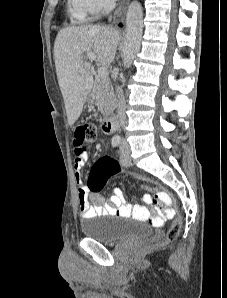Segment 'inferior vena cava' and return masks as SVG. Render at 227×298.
<instances>
[{"label": "inferior vena cava", "instance_id": "1", "mask_svg": "<svg viewBox=\"0 0 227 298\" xmlns=\"http://www.w3.org/2000/svg\"><path fill=\"white\" fill-rule=\"evenodd\" d=\"M114 7H115L114 0H105L103 11L105 14H109ZM116 93L118 97L117 114L120 121V125L124 127L126 122L125 97H124L123 90L120 87L116 88Z\"/></svg>", "mask_w": 227, "mask_h": 298}]
</instances>
